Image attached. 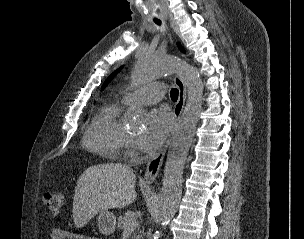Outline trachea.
<instances>
[{
  "instance_id": "obj_1",
  "label": "trachea",
  "mask_w": 304,
  "mask_h": 239,
  "mask_svg": "<svg viewBox=\"0 0 304 239\" xmlns=\"http://www.w3.org/2000/svg\"><path fill=\"white\" fill-rule=\"evenodd\" d=\"M147 3L149 4V5H152L153 3H154V0H147ZM154 6V5H153ZM153 8V7H152ZM149 18L150 19H154V22L157 24V25H160L161 24V21L160 20H158L157 18H158V13L157 12H150L149 13ZM155 19H157V20H155ZM178 89H176V88H173V89H171V91H170V95H171V99L173 100V101H176L177 99H178Z\"/></svg>"
}]
</instances>
